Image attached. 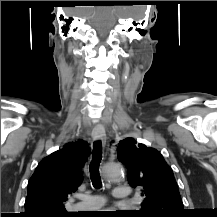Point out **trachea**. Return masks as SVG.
<instances>
[{
	"instance_id": "trachea-1",
	"label": "trachea",
	"mask_w": 217,
	"mask_h": 217,
	"mask_svg": "<svg viewBox=\"0 0 217 217\" xmlns=\"http://www.w3.org/2000/svg\"><path fill=\"white\" fill-rule=\"evenodd\" d=\"M101 158H102V145L100 141H96L93 145L92 162L89 168L90 178L95 188H100L102 186L100 174H99V164Z\"/></svg>"
}]
</instances>
